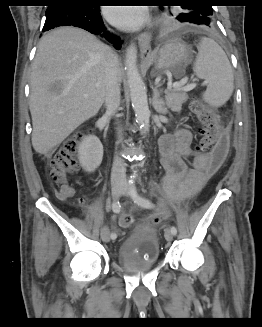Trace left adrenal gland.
Instances as JSON below:
<instances>
[{
  "label": "left adrenal gland",
  "mask_w": 262,
  "mask_h": 327,
  "mask_svg": "<svg viewBox=\"0 0 262 327\" xmlns=\"http://www.w3.org/2000/svg\"><path fill=\"white\" fill-rule=\"evenodd\" d=\"M152 106L155 109V111L159 114L167 113L165 102L162 98H160V94L157 87L153 88Z\"/></svg>",
  "instance_id": "left-adrenal-gland-1"
}]
</instances>
